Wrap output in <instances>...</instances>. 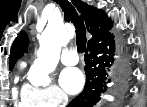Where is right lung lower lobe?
I'll use <instances>...</instances> for the list:
<instances>
[{"mask_svg": "<svg viewBox=\"0 0 147 107\" xmlns=\"http://www.w3.org/2000/svg\"><path fill=\"white\" fill-rule=\"evenodd\" d=\"M89 53L85 57L86 85L80 95L73 99L68 107H93L105 91V68L114 61V36L110 33L103 40L88 45Z\"/></svg>", "mask_w": 147, "mask_h": 107, "instance_id": "right-lung-lower-lobe-1", "label": "right lung lower lobe"}]
</instances>
